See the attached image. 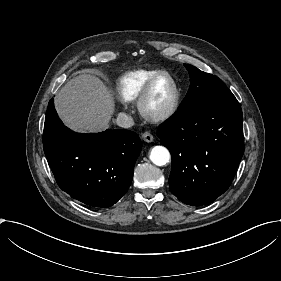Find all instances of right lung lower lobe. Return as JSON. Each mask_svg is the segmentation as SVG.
Here are the masks:
<instances>
[{
    "label": "right lung lower lobe",
    "mask_w": 281,
    "mask_h": 281,
    "mask_svg": "<svg viewBox=\"0 0 281 281\" xmlns=\"http://www.w3.org/2000/svg\"><path fill=\"white\" fill-rule=\"evenodd\" d=\"M43 146L59 187L97 208L111 207L124 196L141 151L138 135L129 130L73 132L59 119L53 99L47 108Z\"/></svg>",
    "instance_id": "right-lung-lower-lobe-1"
}]
</instances>
